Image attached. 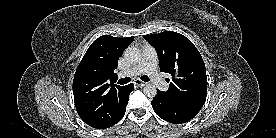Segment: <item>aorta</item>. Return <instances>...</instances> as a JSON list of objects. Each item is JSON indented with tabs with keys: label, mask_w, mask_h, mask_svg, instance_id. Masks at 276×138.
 I'll return each mask as SVG.
<instances>
[{
	"label": "aorta",
	"mask_w": 276,
	"mask_h": 138,
	"mask_svg": "<svg viewBox=\"0 0 276 138\" xmlns=\"http://www.w3.org/2000/svg\"><path fill=\"white\" fill-rule=\"evenodd\" d=\"M124 58L130 64H136L141 60V51L135 47H127L124 51ZM143 93L149 97L153 98L157 94V89L155 85L147 84L143 88Z\"/></svg>",
	"instance_id": "1"
}]
</instances>
